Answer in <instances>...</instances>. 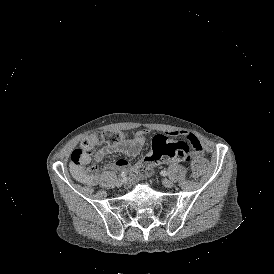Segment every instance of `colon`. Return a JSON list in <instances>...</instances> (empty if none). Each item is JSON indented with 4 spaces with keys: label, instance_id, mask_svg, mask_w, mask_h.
<instances>
[{
    "label": "colon",
    "instance_id": "5ec220e1",
    "mask_svg": "<svg viewBox=\"0 0 274 274\" xmlns=\"http://www.w3.org/2000/svg\"><path fill=\"white\" fill-rule=\"evenodd\" d=\"M119 139L120 134L112 130L94 133L83 139V150L80 147L75 148L71 153L70 159L73 163L77 164L81 161L84 154H91L95 146L100 142L106 141L109 144H115L119 141ZM193 158L194 161L191 164V180L196 181L198 179V174L205 173L208 170V157L204 151L200 150L194 154Z\"/></svg>",
    "mask_w": 274,
    "mask_h": 274
}]
</instances>
